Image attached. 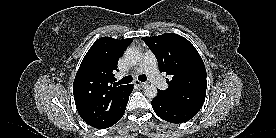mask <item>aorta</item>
I'll return each mask as SVG.
<instances>
[{
	"label": "aorta",
	"instance_id": "1",
	"mask_svg": "<svg viewBox=\"0 0 276 138\" xmlns=\"http://www.w3.org/2000/svg\"><path fill=\"white\" fill-rule=\"evenodd\" d=\"M125 60L131 65H137L141 61V52L134 47L128 48L124 53ZM144 95L149 98L157 96V88L154 85H145L143 89Z\"/></svg>",
	"mask_w": 276,
	"mask_h": 138
}]
</instances>
